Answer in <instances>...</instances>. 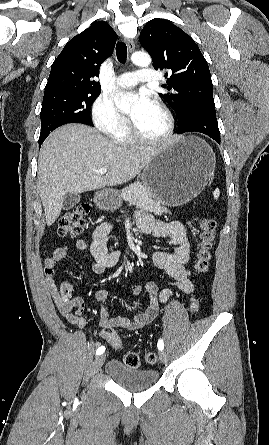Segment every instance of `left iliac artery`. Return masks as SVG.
Returning <instances> with one entry per match:
<instances>
[{"label":"left iliac artery","instance_id":"obj_1","mask_svg":"<svg viewBox=\"0 0 269 445\" xmlns=\"http://www.w3.org/2000/svg\"><path fill=\"white\" fill-rule=\"evenodd\" d=\"M157 347L160 351H162L164 349V342L162 339H159Z\"/></svg>","mask_w":269,"mask_h":445}]
</instances>
